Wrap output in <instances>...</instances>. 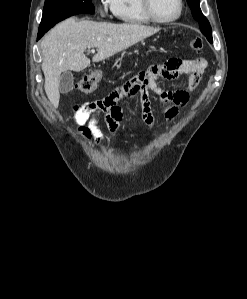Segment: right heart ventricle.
Here are the masks:
<instances>
[{
  "label": "right heart ventricle",
  "instance_id": "1",
  "mask_svg": "<svg viewBox=\"0 0 247 299\" xmlns=\"http://www.w3.org/2000/svg\"><path fill=\"white\" fill-rule=\"evenodd\" d=\"M108 6L115 18L128 24H150L152 20L145 14L142 0H108Z\"/></svg>",
  "mask_w": 247,
  "mask_h": 299
}]
</instances>
